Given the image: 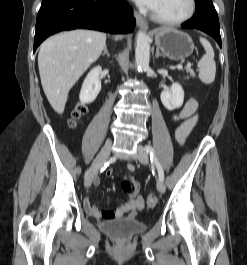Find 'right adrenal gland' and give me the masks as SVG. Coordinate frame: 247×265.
Returning <instances> with one entry per match:
<instances>
[{
  "instance_id": "2a0ac1e0",
  "label": "right adrenal gland",
  "mask_w": 247,
  "mask_h": 265,
  "mask_svg": "<svg viewBox=\"0 0 247 265\" xmlns=\"http://www.w3.org/2000/svg\"><path fill=\"white\" fill-rule=\"evenodd\" d=\"M102 55H107L108 57H110L109 51L107 49V46L104 47V52L102 53Z\"/></svg>"
}]
</instances>
